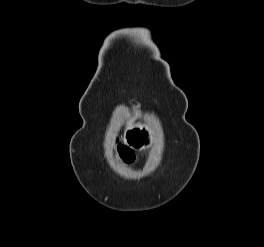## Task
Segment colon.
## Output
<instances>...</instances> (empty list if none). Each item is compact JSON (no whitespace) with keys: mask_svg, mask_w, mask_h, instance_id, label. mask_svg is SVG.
I'll list each match as a JSON object with an SVG mask.
<instances>
[{"mask_svg":"<svg viewBox=\"0 0 264 247\" xmlns=\"http://www.w3.org/2000/svg\"><path fill=\"white\" fill-rule=\"evenodd\" d=\"M122 159L126 162H130L132 160V156L125 150L121 151Z\"/></svg>","mask_w":264,"mask_h":247,"instance_id":"colon-1","label":"colon"}]
</instances>
